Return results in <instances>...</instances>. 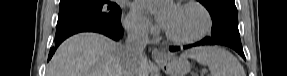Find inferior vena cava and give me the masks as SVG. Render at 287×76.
I'll list each match as a JSON object with an SVG mask.
<instances>
[{
    "instance_id": "602c4592",
    "label": "inferior vena cava",
    "mask_w": 287,
    "mask_h": 76,
    "mask_svg": "<svg viewBox=\"0 0 287 76\" xmlns=\"http://www.w3.org/2000/svg\"><path fill=\"white\" fill-rule=\"evenodd\" d=\"M127 38L122 46L123 50V76H138L139 66L146 62L144 49L148 37V25L139 20H131L125 25Z\"/></svg>"
}]
</instances>
